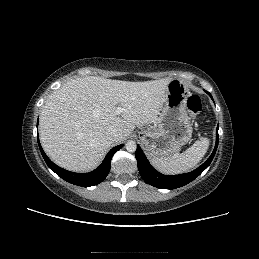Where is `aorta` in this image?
Here are the masks:
<instances>
[{
    "instance_id": "1",
    "label": "aorta",
    "mask_w": 259,
    "mask_h": 259,
    "mask_svg": "<svg viewBox=\"0 0 259 259\" xmlns=\"http://www.w3.org/2000/svg\"><path fill=\"white\" fill-rule=\"evenodd\" d=\"M125 148L128 152H135L137 149V145L135 141H128L125 145Z\"/></svg>"
}]
</instances>
